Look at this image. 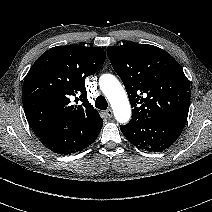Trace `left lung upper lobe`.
<instances>
[{"mask_svg": "<svg viewBox=\"0 0 212 212\" xmlns=\"http://www.w3.org/2000/svg\"><path fill=\"white\" fill-rule=\"evenodd\" d=\"M107 54L133 107L130 122L154 117L186 121L190 86L170 54L156 46L138 43L107 47Z\"/></svg>", "mask_w": 212, "mask_h": 212, "instance_id": "1", "label": "left lung upper lobe"}]
</instances>
